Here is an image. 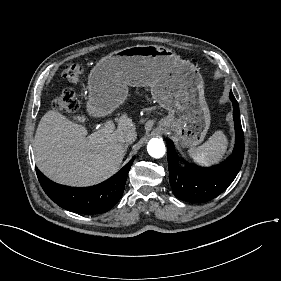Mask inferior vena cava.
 <instances>
[{"label": "inferior vena cava", "mask_w": 281, "mask_h": 281, "mask_svg": "<svg viewBox=\"0 0 281 281\" xmlns=\"http://www.w3.org/2000/svg\"><path fill=\"white\" fill-rule=\"evenodd\" d=\"M136 132L135 131H129V132H123L118 136V141L123 144H131L136 139Z\"/></svg>", "instance_id": "602c4592"}]
</instances>
